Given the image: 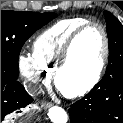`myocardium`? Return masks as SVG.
Returning <instances> with one entry per match:
<instances>
[{
  "label": "myocardium",
  "instance_id": "1",
  "mask_svg": "<svg viewBox=\"0 0 123 123\" xmlns=\"http://www.w3.org/2000/svg\"><path fill=\"white\" fill-rule=\"evenodd\" d=\"M90 27H97L101 31L103 39V52L99 61L98 68L93 77L83 86L73 90L64 89L60 84V76L69 63L76 40ZM109 53L110 42L105 27L97 21L86 22L70 35L63 47L60 59L53 70V79L56 87L60 90L62 94H64L67 97H79L87 94L99 83L106 68L109 59Z\"/></svg>",
  "mask_w": 123,
  "mask_h": 123
}]
</instances>
